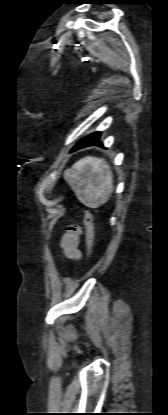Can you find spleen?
I'll return each mask as SVG.
<instances>
[{
  "label": "spleen",
  "instance_id": "spleen-1",
  "mask_svg": "<svg viewBox=\"0 0 168 415\" xmlns=\"http://www.w3.org/2000/svg\"><path fill=\"white\" fill-rule=\"evenodd\" d=\"M64 179L84 205L96 208L108 201L113 176L104 159L85 157L64 172Z\"/></svg>",
  "mask_w": 168,
  "mask_h": 415
}]
</instances>
